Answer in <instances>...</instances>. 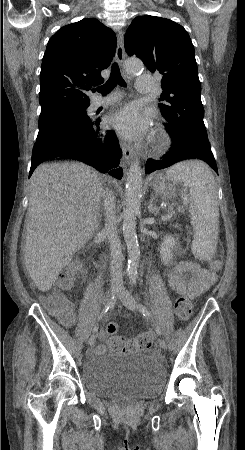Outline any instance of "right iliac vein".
I'll use <instances>...</instances> for the list:
<instances>
[{
	"instance_id": "63e3f726",
	"label": "right iliac vein",
	"mask_w": 245,
	"mask_h": 450,
	"mask_svg": "<svg viewBox=\"0 0 245 450\" xmlns=\"http://www.w3.org/2000/svg\"><path fill=\"white\" fill-rule=\"evenodd\" d=\"M118 291H119V286L117 284L111 285V295L112 296L116 295ZM95 340H96V336L92 335L88 340V344L90 346H92L95 343Z\"/></svg>"
}]
</instances>
